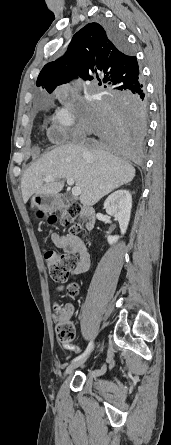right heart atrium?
<instances>
[{
  "mask_svg": "<svg viewBox=\"0 0 171 445\" xmlns=\"http://www.w3.org/2000/svg\"><path fill=\"white\" fill-rule=\"evenodd\" d=\"M75 114L68 103L59 107L52 116L51 138L54 141L65 139L75 124Z\"/></svg>",
  "mask_w": 171,
  "mask_h": 445,
  "instance_id": "obj_1",
  "label": "right heart atrium"
}]
</instances>
